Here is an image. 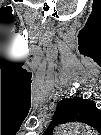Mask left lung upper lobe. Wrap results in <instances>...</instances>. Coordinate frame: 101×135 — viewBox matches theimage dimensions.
I'll use <instances>...</instances> for the list:
<instances>
[{"mask_svg":"<svg viewBox=\"0 0 101 135\" xmlns=\"http://www.w3.org/2000/svg\"><path fill=\"white\" fill-rule=\"evenodd\" d=\"M95 109L93 102L83 98L63 100L58 103L54 116L61 122H86Z\"/></svg>","mask_w":101,"mask_h":135,"instance_id":"1","label":"left lung upper lobe"}]
</instances>
